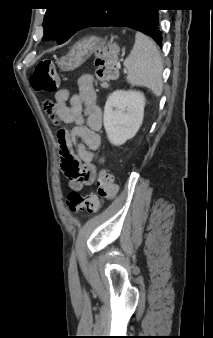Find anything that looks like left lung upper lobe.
<instances>
[{
    "mask_svg": "<svg viewBox=\"0 0 213 338\" xmlns=\"http://www.w3.org/2000/svg\"><path fill=\"white\" fill-rule=\"evenodd\" d=\"M105 0H49L44 17L43 40L57 38L67 41L78 31L84 20Z\"/></svg>",
    "mask_w": 213,
    "mask_h": 338,
    "instance_id": "1",
    "label": "left lung upper lobe"
}]
</instances>
